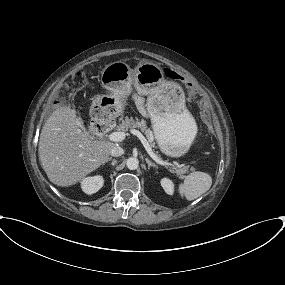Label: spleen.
<instances>
[{"instance_id": "1", "label": "spleen", "mask_w": 285, "mask_h": 285, "mask_svg": "<svg viewBox=\"0 0 285 285\" xmlns=\"http://www.w3.org/2000/svg\"><path fill=\"white\" fill-rule=\"evenodd\" d=\"M211 185L212 178L209 174L196 171L188 175L184 182L179 185V193L191 201L207 192Z\"/></svg>"}]
</instances>
